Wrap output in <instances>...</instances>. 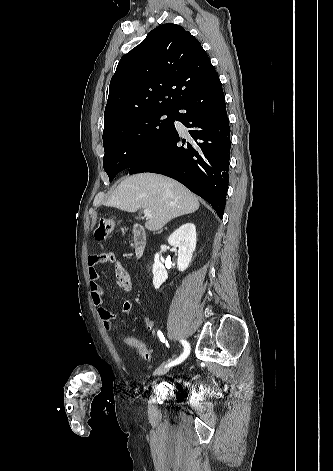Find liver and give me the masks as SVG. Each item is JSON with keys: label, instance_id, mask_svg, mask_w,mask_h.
Here are the masks:
<instances>
[{"label": "liver", "instance_id": "liver-1", "mask_svg": "<svg viewBox=\"0 0 333 471\" xmlns=\"http://www.w3.org/2000/svg\"><path fill=\"white\" fill-rule=\"evenodd\" d=\"M126 212L149 209L145 227L150 231L162 229L172 219L198 210V198L184 185L162 175L136 174L124 179L104 202Z\"/></svg>", "mask_w": 333, "mask_h": 471}]
</instances>
